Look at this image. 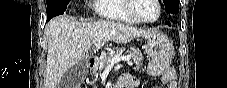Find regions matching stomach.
I'll use <instances>...</instances> for the list:
<instances>
[{
    "instance_id": "obj_1",
    "label": "stomach",
    "mask_w": 227,
    "mask_h": 88,
    "mask_svg": "<svg viewBox=\"0 0 227 88\" xmlns=\"http://www.w3.org/2000/svg\"><path fill=\"white\" fill-rule=\"evenodd\" d=\"M146 53L151 57L148 71L152 75H160L169 67L174 53L173 42L167 35L154 31L147 37Z\"/></svg>"
}]
</instances>
